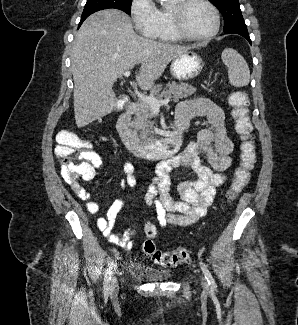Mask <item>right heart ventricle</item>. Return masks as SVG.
<instances>
[{
    "label": "right heart ventricle",
    "instance_id": "obj_1",
    "mask_svg": "<svg viewBox=\"0 0 298 325\" xmlns=\"http://www.w3.org/2000/svg\"><path fill=\"white\" fill-rule=\"evenodd\" d=\"M155 9L157 24L160 25L165 31V35L163 36L164 41L176 42L178 39H176L168 29V16L164 5H159L158 7H155Z\"/></svg>",
    "mask_w": 298,
    "mask_h": 325
}]
</instances>
